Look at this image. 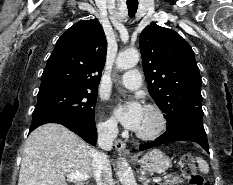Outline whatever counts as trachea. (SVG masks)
Segmentation results:
<instances>
[{"label":"trachea","mask_w":233,"mask_h":185,"mask_svg":"<svg viewBox=\"0 0 233 185\" xmlns=\"http://www.w3.org/2000/svg\"><path fill=\"white\" fill-rule=\"evenodd\" d=\"M129 16L133 17L137 11L138 3H127Z\"/></svg>","instance_id":"trachea-1"}]
</instances>
